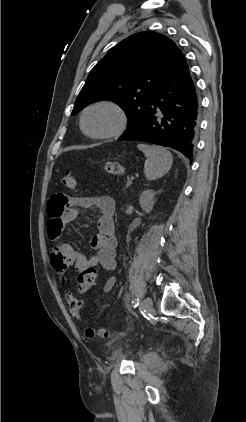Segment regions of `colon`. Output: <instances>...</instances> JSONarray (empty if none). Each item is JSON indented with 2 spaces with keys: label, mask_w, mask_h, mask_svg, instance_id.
Returning <instances> with one entry per match:
<instances>
[{
  "label": "colon",
  "mask_w": 246,
  "mask_h": 422,
  "mask_svg": "<svg viewBox=\"0 0 246 422\" xmlns=\"http://www.w3.org/2000/svg\"><path fill=\"white\" fill-rule=\"evenodd\" d=\"M106 172L110 174H120L123 170L122 166L117 162H110L105 166ZM63 185L71 191H75L77 188V180L71 172H66L62 178ZM51 264L53 268L59 272H65L69 266L66 257L56 248L51 251ZM96 269L94 267L86 268L77 275V290L79 293H85L95 283L96 280ZM67 302L71 315L76 319H82V303L81 301L72 295H67ZM86 336L93 338L95 336L104 337L107 336V332L104 329L87 328Z\"/></svg>",
  "instance_id": "5ec220e1"
}]
</instances>
